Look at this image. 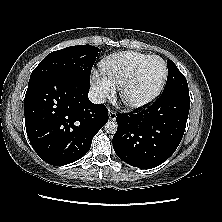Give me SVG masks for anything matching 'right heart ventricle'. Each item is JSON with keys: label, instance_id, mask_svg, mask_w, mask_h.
I'll return each instance as SVG.
<instances>
[{"label": "right heart ventricle", "instance_id": "right-heart-ventricle-1", "mask_svg": "<svg viewBox=\"0 0 222 222\" xmlns=\"http://www.w3.org/2000/svg\"><path fill=\"white\" fill-rule=\"evenodd\" d=\"M150 56L135 51L119 52L105 58L101 62V68L104 76L114 86L121 87L138 65Z\"/></svg>", "mask_w": 222, "mask_h": 222}]
</instances>
